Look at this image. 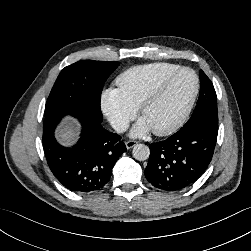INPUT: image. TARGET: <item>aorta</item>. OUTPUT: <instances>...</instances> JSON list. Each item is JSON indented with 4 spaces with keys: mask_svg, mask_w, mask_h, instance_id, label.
Instances as JSON below:
<instances>
[{
    "mask_svg": "<svg viewBox=\"0 0 251 251\" xmlns=\"http://www.w3.org/2000/svg\"><path fill=\"white\" fill-rule=\"evenodd\" d=\"M132 154L136 160L144 161L149 158L150 149L144 144H137L134 146Z\"/></svg>",
    "mask_w": 251,
    "mask_h": 251,
    "instance_id": "obj_1",
    "label": "aorta"
}]
</instances>
